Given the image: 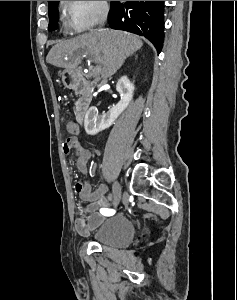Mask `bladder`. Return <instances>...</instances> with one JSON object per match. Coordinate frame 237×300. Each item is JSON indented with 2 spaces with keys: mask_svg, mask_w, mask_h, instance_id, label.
<instances>
[{
  "mask_svg": "<svg viewBox=\"0 0 237 300\" xmlns=\"http://www.w3.org/2000/svg\"><path fill=\"white\" fill-rule=\"evenodd\" d=\"M136 234L134 223L125 215H115L106 219L90 235L93 242L100 245L124 248L129 246Z\"/></svg>",
  "mask_w": 237,
  "mask_h": 300,
  "instance_id": "obj_1",
  "label": "bladder"
}]
</instances>
